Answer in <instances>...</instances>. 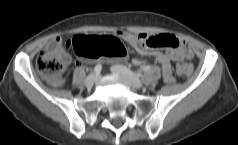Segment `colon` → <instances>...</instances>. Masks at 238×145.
<instances>
[{"instance_id":"obj_1","label":"colon","mask_w":238,"mask_h":145,"mask_svg":"<svg viewBox=\"0 0 238 145\" xmlns=\"http://www.w3.org/2000/svg\"><path fill=\"white\" fill-rule=\"evenodd\" d=\"M74 52L87 61L101 58L110 60H123L127 55L125 46L119 39L112 36L77 35L68 42ZM36 69L51 81H58L64 71L65 64L48 50H44L35 60ZM176 71L181 76H189L192 67L188 63H179Z\"/></svg>"}]
</instances>
